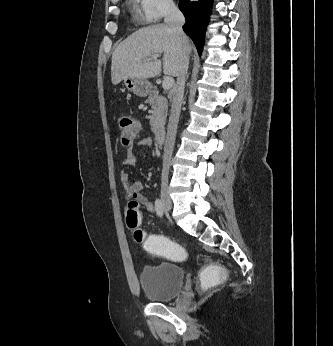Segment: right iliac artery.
<instances>
[{
  "label": "right iliac artery",
  "instance_id": "1",
  "mask_svg": "<svg viewBox=\"0 0 333 346\" xmlns=\"http://www.w3.org/2000/svg\"><path fill=\"white\" fill-rule=\"evenodd\" d=\"M155 209H156V213L158 216H162L163 215V204L161 199H156L155 201Z\"/></svg>",
  "mask_w": 333,
  "mask_h": 346
}]
</instances>
